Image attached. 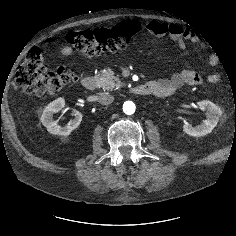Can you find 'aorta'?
I'll return each mask as SVG.
<instances>
[{"instance_id": "762f6f07", "label": "aorta", "mask_w": 236, "mask_h": 236, "mask_svg": "<svg viewBox=\"0 0 236 236\" xmlns=\"http://www.w3.org/2000/svg\"><path fill=\"white\" fill-rule=\"evenodd\" d=\"M135 109H136V106H135L134 102H132V101H126V102H124V104H123V112H124L126 115H132V114H134Z\"/></svg>"}]
</instances>
